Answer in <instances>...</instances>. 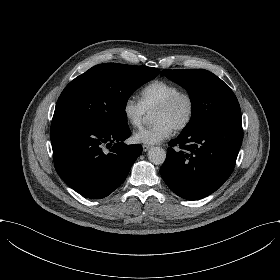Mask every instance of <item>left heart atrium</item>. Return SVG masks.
<instances>
[{
  "label": "left heart atrium",
  "mask_w": 280,
  "mask_h": 280,
  "mask_svg": "<svg viewBox=\"0 0 280 280\" xmlns=\"http://www.w3.org/2000/svg\"><path fill=\"white\" fill-rule=\"evenodd\" d=\"M175 127L165 120H160L150 127L135 131L132 139L138 144L155 145L169 138Z\"/></svg>",
  "instance_id": "1"
}]
</instances>
